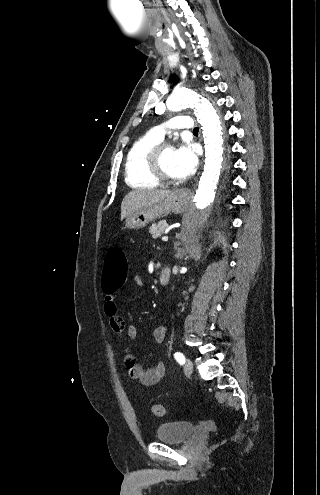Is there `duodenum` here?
Listing matches in <instances>:
<instances>
[{"label": "duodenum", "instance_id": "1", "mask_svg": "<svg viewBox=\"0 0 320 495\" xmlns=\"http://www.w3.org/2000/svg\"><path fill=\"white\" fill-rule=\"evenodd\" d=\"M171 280V269L169 266H164L160 276H159V282L161 285H168Z\"/></svg>", "mask_w": 320, "mask_h": 495}]
</instances>
